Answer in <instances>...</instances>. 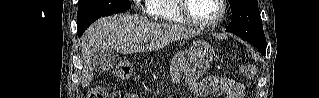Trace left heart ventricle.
Wrapping results in <instances>:
<instances>
[{"label":"left heart ventricle","instance_id":"obj_1","mask_svg":"<svg viewBox=\"0 0 319 98\" xmlns=\"http://www.w3.org/2000/svg\"><path fill=\"white\" fill-rule=\"evenodd\" d=\"M188 10L194 18L209 22L219 16L220 5L217 0H189Z\"/></svg>","mask_w":319,"mask_h":98}]
</instances>
